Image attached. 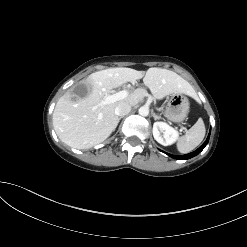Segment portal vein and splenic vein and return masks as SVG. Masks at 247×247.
I'll use <instances>...</instances> for the list:
<instances>
[{
	"label": "portal vein and splenic vein",
	"mask_w": 247,
	"mask_h": 247,
	"mask_svg": "<svg viewBox=\"0 0 247 247\" xmlns=\"http://www.w3.org/2000/svg\"><path fill=\"white\" fill-rule=\"evenodd\" d=\"M129 95V92L127 90H122L118 93L112 94V95H108L104 98V100L101 102V105H106V104H110L119 100H123L125 99L127 96ZM184 128L181 127V130H183Z\"/></svg>",
	"instance_id": "obj_1"
}]
</instances>
